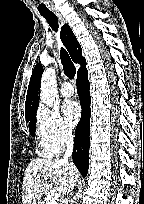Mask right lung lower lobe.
<instances>
[{
	"mask_svg": "<svg viewBox=\"0 0 144 204\" xmlns=\"http://www.w3.org/2000/svg\"><path fill=\"white\" fill-rule=\"evenodd\" d=\"M88 71L83 67L77 72V91L81 102L82 114L80 122L75 131L73 162L82 174L87 175L89 166V144H90V93L89 81L87 79Z\"/></svg>",
	"mask_w": 144,
	"mask_h": 204,
	"instance_id": "1",
	"label": "right lung lower lobe"
}]
</instances>
